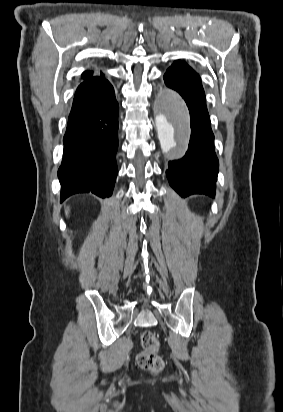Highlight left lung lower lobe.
Instances as JSON below:
<instances>
[{"mask_svg": "<svg viewBox=\"0 0 283 412\" xmlns=\"http://www.w3.org/2000/svg\"><path fill=\"white\" fill-rule=\"evenodd\" d=\"M164 81L184 98L190 111L192 130L185 156L168 163V181L182 197L192 194L214 197L218 159L201 79L196 72L176 71L166 72Z\"/></svg>", "mask_w": 283, "mask_h": 412, "instance_id": "left-lung-lower-lobe-1", "label": "left lung lower lobe"}]
</instances>
